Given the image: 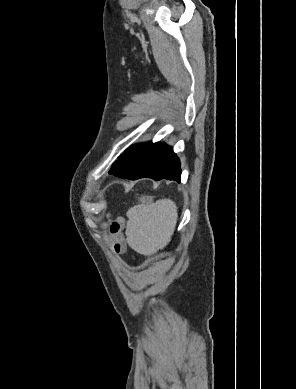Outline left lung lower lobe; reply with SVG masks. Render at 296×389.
Returning <instances> with one entry per match:
<instances>
[{
	"label": "left lung lower lobe",
	"instance_id": "obj_1",
	"mask_svg": "<svg viewBox=\"0 0 296 389\" xmlns=\"http://www.w3.org/2000/svg\"><path fill=\"white\" fill-rule=\"evenodd\" d=\"M180 161L172 147L164 143H143L127 149L112 166L109 174L136 180L152 178L174 180L180 183Z\"/></svg>",
	"mask_w": 296,
	"mask_h": 389
}]
</instances>
